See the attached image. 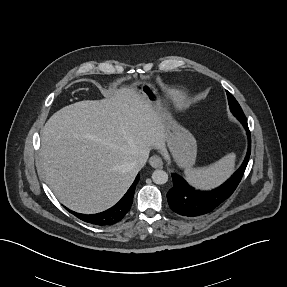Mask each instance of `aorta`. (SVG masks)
<instances>
[{"label":"aorta","mask_w":287,"mask_h":287,"mask_svg":"<svg viewBox=\"0 0 287 287\" xmlns=\"http://www.w3.org/2000/svg\"><path fill=\"white\" fill-rule=\"evenodd\" d=\"M152 180L159 185L165 184L168 181V174L164 170H155L152 173Z\"/></svg>","instance_id":"762f6f07"}]
</instances>
